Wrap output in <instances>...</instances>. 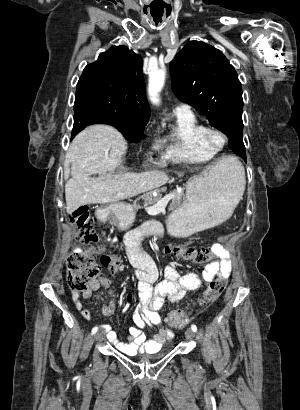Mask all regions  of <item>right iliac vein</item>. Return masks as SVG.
Wrapping results in <instances>:
<instances>
[{
  "label": "right iliac vein",
  "instance_id": "63e3f726",
  "mask_svg": "<svg viewBox=\"0 0 300 410\" xmlns=\"http://www.w3.org/2000/svg\"><path fill=\"white\" fill-rule=\"evenodd\" d=\"M103 336H104V332L101 330L95 334L94 338L96 341L99 342L103 339Z\"/></svg>",
  "mask_w": 300,
  "mask_h": 410
}]
</instances>
